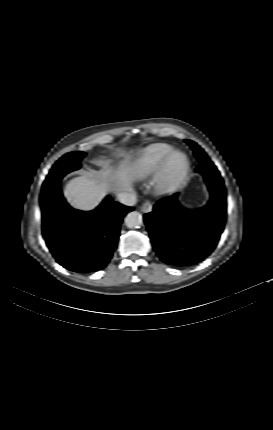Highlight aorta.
Masks as SVG:
<instances>
[{"label":"aorta","mask_w":273,"mask_h":430,"mask_svg":"<svg viewBox=\"0 0 273 430\" xmlns=\"http://www.w3.org/2000/svg\"><path fill=\"white\" fill-rule=\"evenodd\" d=\"M125 224L128 228H139L143 224V217L137 211L130 212L125 218Z\"/></svg>","instance_id":"762f6f07"}]
</instances>
